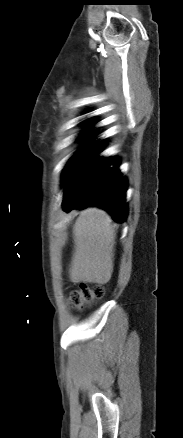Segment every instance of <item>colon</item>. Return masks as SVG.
Returning <instances> with one entry per match:
<instances>
[{
  "mask_svg": "<svg viewBox=\"0 0 183 438\" xmlns=\"http://www.w3.org/2000/svg\"><path fill=\"white\" fill-rule=\"evenodd\" d=\"M104 295V288L100 285L89 286L82 284L77 290H75L70 297L72 305L81 309L86 305H89L93 301L102 298Z\"/></svg>",
  "mask_w": 183,
  "mask_h": 438,
  "instance_id": "colon-1",
  "label": "colon"
}]
</instances>
